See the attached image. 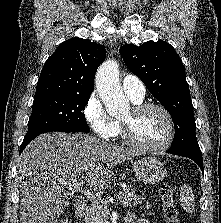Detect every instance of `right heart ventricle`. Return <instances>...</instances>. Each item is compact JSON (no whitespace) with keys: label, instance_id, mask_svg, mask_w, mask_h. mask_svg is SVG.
<instances>
[{"label":"right heart ventricle","instance_id":"e07e8e85","mask_svg":"<svg viewBox=\"0 0 221 223\" xmlns=\"http://www.w3.org/2000/svg\"><path fill=\"white\" fill-rule=\"evenodd\" d=\"M132 101L135 102V103H141L142 102V100H139V101L132 100ZM116 123H117V133H116V135H118V134L121 133V126L118 122H116Z\"/></svg>","mask_w":221,"mask_h":223}]
</instances>
